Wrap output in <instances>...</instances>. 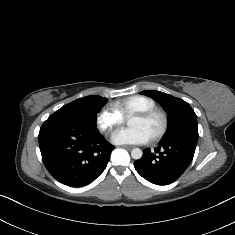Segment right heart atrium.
Segmentation results:
<instances>
[{
  "mask_svg": "<svg viewBox=\"0 0 235 235\" xmlns=\"http://www.w3.org/2000/svg\"><path fill=\"white\" fill-rule=\"evenodd\" d=\"M124 117L119 114L113 104H106L96 115L95 125L97 129L105 135L111 133L114 129L122 127Z\"/></svg>",
  "mask_w": 235,
  "mask_h": 235,
  "instance_id": "1",
  "label": "right heart atrium"
}]
</instances>
